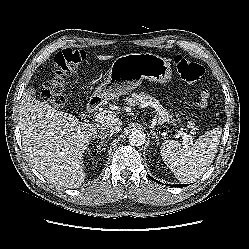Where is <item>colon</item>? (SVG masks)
<instances>
[{"instance_id":"1","label":"colon","mask_w":249,"mask_h":249,"mask_svg":"<svg viewBox=\"0 0 249 249\" xmlns=\"http://www.w3.org/2000/svg\"><path fill=\"white\" fill-rule=\"evenodd\" d=\"M85 59L86 53L82 50L64 49L58 52L51 67V77L43 85L42 97L44 100L56 108L63 107L65 80L77 70ZM174 65L180 77L188 83H197L204 78L203 66L181 55L175 56ZM209 100V90L206 87H201L198 97L199 106L206 107Z\"/></svg>"}]
</instances>
